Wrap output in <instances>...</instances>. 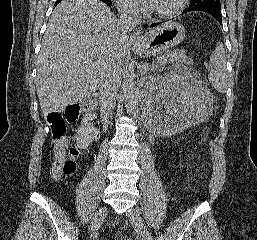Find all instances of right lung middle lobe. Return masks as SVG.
<instances>
[{"label":"right lung middle lobe","instance_id":"obj_1","mask_svg":"<svg viewBox=\"0 0 257 240\" xmlns=\"http://www.w3.org/2000/svg\"><path fill=\"white\" fill-rule=\"evenodd\" d=\"M107 2H110L111 0H106Z\"/></svg>","mask_w":257,"mask_h":240}]
</instances>
